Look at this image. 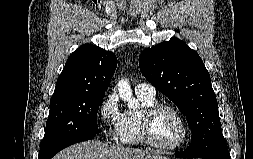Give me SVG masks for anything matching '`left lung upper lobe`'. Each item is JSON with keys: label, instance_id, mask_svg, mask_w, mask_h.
<instances>
[{"label": "left lung upper lobe", "instance_id": "obj_1", "mask_svg": "<svg viewBox=\"0 0 253 159\" xmlns=\"http://www.w3.org/2000/svg\"><path fill=\"white\" fill-rule=\"evenodd\" d=\"M139 66L145 78L186 116L190 144L197 153L209 152L223 135L211 78L198 53L182 40L171 39L144 50Z\"/></svg>", "mask_w": 253, "mask_h": 159}]
</instances>
